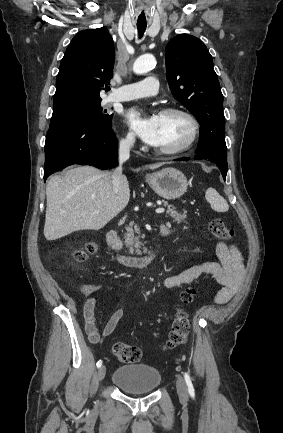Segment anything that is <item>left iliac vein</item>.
<instances>
[{
  "instance_id": "4c4485c4",
  "label": "left iliac vein",
  "mask_w": 283,
  "mask_h": 433,
  "mask_svg": "<svg viewBox=\"0 0 283 433\" xmlns=\"http://www.w3.org/2000/svg\"><path fill=\"white\" fill-rule=\"evenodd\" d=\"M176 389L179 395V398L183 401H187L188 399V388L184 381V378L180 375H177L176 380Z\"/></svg>"
}]
</instances>
